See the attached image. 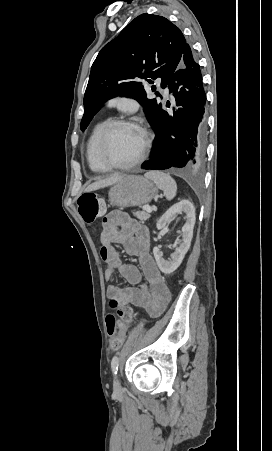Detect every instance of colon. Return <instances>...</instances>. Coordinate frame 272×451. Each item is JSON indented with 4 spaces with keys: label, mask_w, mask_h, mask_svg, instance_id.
<instances>
[{
    "label": "colon",
    "mask_w": 272,
    "mask_h": 451,
    "mask_svg": "<svg viewBox=\"0 0 272 451\" xmlns=\"http://www.w3.org/2000/svg\"><path fill=\"white\" fill-rule=\"evenodd\" d=\"M77 204L80 216L88 225L94 224L97 219L102 216L104 211V199L101 195L95 192L86 193L80 196ZM107 304L109 306L113 305L111 310L114 313H117L118 319L124 323L125 327L133 320L134 313L131 308L119 307L118 302L112 299H109ZM116 323L117 320L113 315L106 316V326L109 334H113L115 332ZM109 343L111 347H121L123 342L121 338H111Z\"/></svg>",
    "instance_id": "colon-1"
}]
</instances>
